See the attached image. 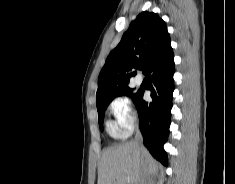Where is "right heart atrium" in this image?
I'll use <instances>...</instances> for the list:
<instances>
[{"label": "right heart atrium", "instance_id": "d8ad5b80", "mask_svg": "<svg viewBox=\"0 0 235 184\" xmlns=\"http://www.w3.org/2000/svg\"><path fill=\"white\" fill-rule=\"evenodd\" d=\"M107 113L105 128L109 136L121 139L131 134L137 114L127 97L117 96L112 99L107 105Z\"/></svg>", "mask_w": 235, "mask_h": 184}]
</instances>
